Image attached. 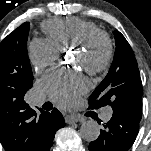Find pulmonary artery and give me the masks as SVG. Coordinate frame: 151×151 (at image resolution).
<instances>
[{
    "instance_id": "1",
    "label": "pulmonary artery",
    "mask_w": 151,
    "mask_h": 151,
    "mask_svg": "<svg viewBox=\"0 0 151 151\" xmlns=\"http://www.w3.org/2000/svg\"><path fill=\"white\" fill-rule=\"evenodd\" d=\"M44 102H45V99L41 96H36L34 98V103L36 105H42ZM111 116H112V110L111 109H106L102 114V119L104 121H108V120H110Z\"/></svg>"
}]
</instances>
